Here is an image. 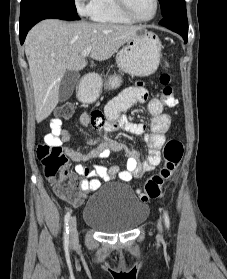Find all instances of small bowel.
I'll return each instance as SVG.
<instances>
[{"mask_svg":"<svg viewBox=\"0 0 227 279\" xmlns=\"http://www.w3.org/2000/svg\"><path fill=\"white\" fill-rule=\"evenodd\" d=\"M137 103L146 104L147 111L153 116L150 129H147L145 124L133 122L123 115ZM162 110V101L159 99L149 100L147 89L142 83H139L124 89L110 100L103 114L101 112L89 113L84 111L79 117V122L84 127L91 125L95 127L105 126L109 130L119 127L128 133L143 135L148 147V157L146 160H141L135 149L127 148L122 142L110 139L107 136L103 139L88 138L87 144L96 146L91 151L73 150L68 146L69 134L60 128V145H62L63 151L70 160L75 163L73 169L67 170L66 174L80 177L82 179V189L93 191L100 186L101 181L111 182L116 178L130 181L139 179L146 172L154 170L161 161L160 148L165 141V133L171 125L170 116L162 114ZM95 114H98L99 118H95ZM51 129H55L54 121L51 123ZM112 151L125 153L127 161L124 169H121L119 165L103 167L94 163L97 159H107ZM86 163H90L91 167L85 166Z\"/></svg>","mask_w":227,"mask_h":279,"instance_id":"obj_1","label":"small bowel"}]
</instances>
